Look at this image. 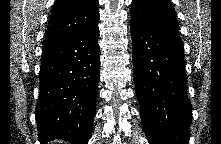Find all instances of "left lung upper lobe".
<instances>
[{
    "instance_id": "5c2ea615",
    "label": "left lung upper lobe",
    "mask_w": 221,
    "mask_h": 144,
    "mask_svg": "<svg viewBox=\"0 0 221 144\" xmlns=\"http://www.w3.org/2000/svg\"><path fill=\"white\" fill-rule=\"evenodd\" d=\"M131 21L152 30L178 35V23L169 0H133Z\"/></svg>"
}]
</instances>
